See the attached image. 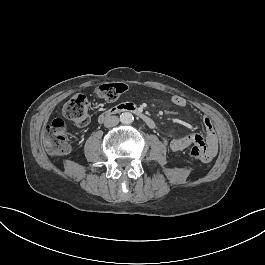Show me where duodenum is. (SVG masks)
<instances>
[{"label":"duodenum","mask_w":265,"mask_h":265,"mask_svg":"<svg viewBox=\"0 0 265 265\" xmlns=\"http://www.w3.org/2000/svg\"><path fill=\"white\" fill-rule=\"evenodd\" d=\"M124 112L133 113L150 128H153L155 126V122L150 115L146 114L140 108L131 103H123L110 107L109 109L105 110L103 113L100 114L98 121L104 122L108 118Z\"/></svg>","instance_id":"410a0bca"}]
</instances>
